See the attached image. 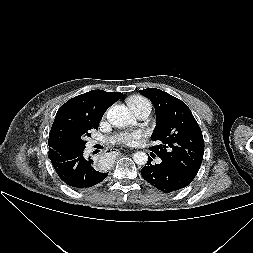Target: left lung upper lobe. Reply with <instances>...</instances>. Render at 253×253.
Segmentation results:
<instances>
[{"instance_id": "obj_1", "label": "left lung upper lobe", "mask_w": 253, "mask_h": 253, "mask_svg": "<svg viewBox=\"0 0 253 253\" xmlns=\"http://www.w3.org/2000/svg\"><path fill=\"white\" fill-rule=\"evenodd\" d=\"M155 107L156 127L151 140L159 145L149 149L194 179L204 154L201 129L188 106L180 99L155 88L139 90Z\"/></svg>"}]
</instances>
